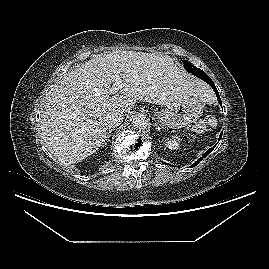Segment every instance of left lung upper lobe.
Listing matches in <instances>:
<instances>
[{"mask_svg": "<svg viewBox=\"0 0 269 269\" xmlns=\"http://www.w3.org/2000/svg\"><path fill=\"white\" fill-rule=\"evenodd\" d=\"M183 64H184V67L186 68V70L189 72V73H194L197 71V69L199 68H196L195 66L191 65V63H189L188 61L186 60H183Z\"/></svg>", "mask_w": 269, "mask_h": 269, "instance_id": "obj_1", "label": "left lung upper lobe"}]
</instances>
